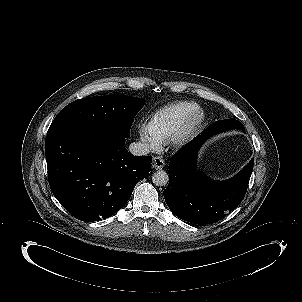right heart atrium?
Returning a JSON list of instances; mask_svg holds the SVG:
<instances>
[{
	"mask_svg": "<svg viewBox=\"0 0 302 302\" xmlns=\"http://www.w3.org/2000/svg\"><path fill=\"white\" fill-rule=\"evenodd\" d=\"M138 138L142 145L150 151L159 149L162 141L147 125H140L137 130Z\"/></svg>",
	"mask_w": 302,
	"mask_h": 302,
	"instance_id": "right-heart-atrium-1",
	"label": "right heart atrium"
}]
</instances>
